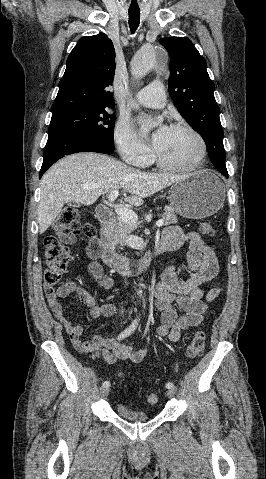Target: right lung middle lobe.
<instances>
[{"instance_id":"obj_1","label":"right lung middle lobe","mask_w":266,"mask_h":479,"mask_svg":"<svg viewBox=\"0 0 266 479\" xmlns=\"http://www.w3.org/2000/svg\"><path fill=\"white\" fill-rule=\"evenodd\" d=\"M115 117L105 108L69 109L52 113L49 132L62 131L114 144Z\"/></svg>"}]
</instances>
